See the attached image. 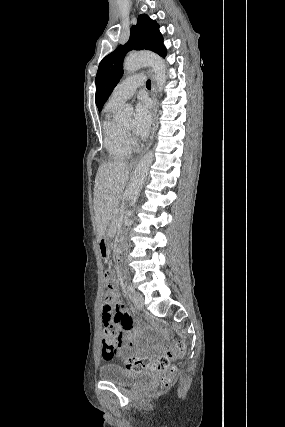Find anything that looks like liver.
Segmentation results:
<instances>
[{
    "mask_svg": "<svg viewBox=\"0 0 285 427\" xmlns=\"http://www.w3.org/2000/svg\"><path fill=\"white\" fill-rule=\"evenodd\" d=\"M129 178L126 162H104L98 168L94 185V212L98 237L106 228L118 207L123 190Z\"/></svg>",
    "mask_w": 285,
    "mask_h": 427,
    "instance_id": "6515ba94",
    "label": "liver"
}]
</instances>
